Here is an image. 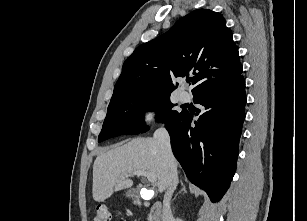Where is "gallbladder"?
<instances>
[{"mask_svg":"<svg viewBox=\"0 0 307 221\" xmlns=\"http://www.w3.org/2000/svg\"><path fill=\"white\" fill-rule=\"evenodd\" d=\"M137 194L138 192L135 189H130L126 192V196L129 198L137 197Z\"/></svg>","mask_w":307,"mask_h":221,"instance_id":"obj_1","label":"gallbladder"}]
</instances>
